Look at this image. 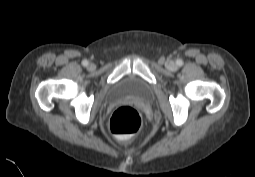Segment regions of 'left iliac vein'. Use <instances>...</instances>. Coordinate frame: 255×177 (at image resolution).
<instances>
[{
    "label": "left iliac vein",
    "mask_w": 255,
    "mask_h": 177,
    "mask_svg": "<svg viewBox=\"0 0 255 177\" xmlns=\"http://www.w3.org/2000/svg\"><path fill=\"white\" fill-rule=\"evenodd\" d=\"M176 67H177L176 63H174V62H172V61L168 62V64H167V68H168L169 70H175Z\"/></svg>",
    "instance_id": "4c4485c4"
}]
</instances>
